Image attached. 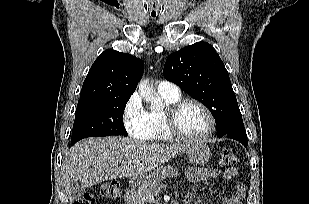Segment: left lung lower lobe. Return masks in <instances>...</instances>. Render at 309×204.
Wrapping results in <instances>:
<instances>
[{
    "instance_id": "left-lung-lower-lobe-1",
    "label": "left lung lower lobe",
    "mask_w": 309,
    "mask_h": 204,
    "mask_svg": "<svg viewBox=\"0 0 309 204\" xmlns=\"http://www.w3.org/2000/svg\"><path fill=\"white\" fill-rule=\"evenodd\" d=\"M223 136L231 138V139H235V140L241 142L245 147H247V145H248L245 128H239V129L229 131L228 133L224 134ZM223 136H218V137H223Z\"/></svg>"
}]
</instances>
